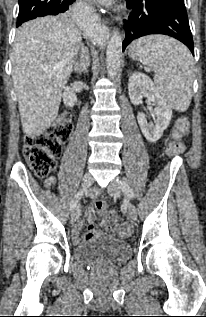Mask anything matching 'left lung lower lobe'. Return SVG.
<instances>
[{
    "label": "left lung lower lobe",
    "instance_id": "1",
    "mask_svg": "<svg viewBox=\"0 0 206 317\" xmlns=\"http://www.w3.org/2000/svg\"><path fill=\"white\" fill-rule=\"evenodd\" d=\"M132 12L124 20L123 50L141 36L164 34L183 42L194 54L192 34L184 2L178 0H126Z\"/></svg>",
    "mask_w": 206,
    "mask_h": 317
}]
</instances>
